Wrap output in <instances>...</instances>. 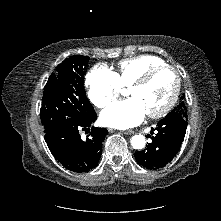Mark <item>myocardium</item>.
I'll return each mask as SVG.
<instances>
[{"label": "myocardium", "instance_id": "1", "mask_svg": "<svg viewBox=\"0 0 221 221\" xmlns=\"http://www.w3.org/2000/svg\"><path fill=\"white\" fill-rule=\"evenodd\" d=\"M164 70H169V71L173 72V74L175 75V81H176L175 87H174L173 93L171 95V98L165 104V106L163 108H161L160 110L155 111V112L147 113L148 117H150L152 119H157V118H161V117L165 116L166 114H168L172 110V108L177 103L179 95H180V91H181V76H180L178 70L175 67H173L171 65H167V64L155 66V67L148 69L144 74H142L136 81H134L130 85V89L137 88V87H143L157 73L164 71Z\"/></svg>", "mask_w": 221, "mask_h": 221}]
</instances>
